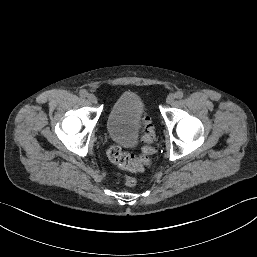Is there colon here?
<instances>
[{
  "label": "colon",
  "instance_id": "colon-1",
  "mask_svg": "<svg viewBox=\"0 0 257 257\" xmlns=\"http://www.w3.org/2000/svg\"><path fill=\"white\" fill-rule=\"evenodd\" d=\"M143 139L146 145L143 147L141 156L124 152L121 147L113 145L107 150L109 160L123 170L130 172L142 171L149 164L150 156L153 153V135L152 129L148 123L145 124ZM124 184L128 187H133L136 184V179L131 176H126L124 178Z\"/></svg>",
  "mask_w": 257,
  "mask_h": 257
}]
</instances>
